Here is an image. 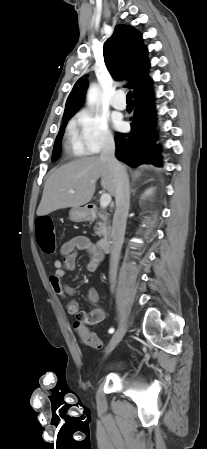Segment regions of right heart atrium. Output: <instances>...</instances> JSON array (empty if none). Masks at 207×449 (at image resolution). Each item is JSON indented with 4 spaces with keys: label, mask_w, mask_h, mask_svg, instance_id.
<instances>
[{
    "label": "right heart atrium",
    "mask_w": 207,
    "mask_h": 449,
    "mask_svg": "<svg viewBox=\"0 0 207 449\" xmlns=\"http://www.w3.org/2000/svg\"><path fill=\"white\" fill-rule=\"evenodd\" d=\"M73 127L87 154H96L114 143V136L106 118L91 110H81L75 116Z\"/></svg>",
    "instance_id": "1"
}]
</instances>
